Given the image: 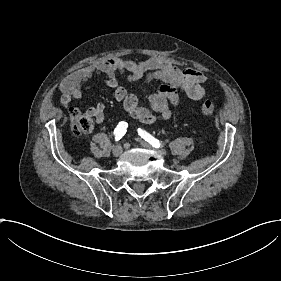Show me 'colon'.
Returning a JSON list of instances; mask_svg holds the SVG:
<instances>
[{"instance_id": "5ec220e1", "label": "colon", "mask_w": 281, "mask_h": 281, "mask_svg": "<svg viewBox=\"0 0 281 281\" xmlns=\"http://www.w3.org/2000/svg\"><path fill=\"white\" fill-rule=\"evenodd\" d=\"M216 109V104L211 100H205L199 106V110L203 115H213ZM76 127L81 133H88L92 129V122L88 117L80 116L77 119Z\"/></svg>"}]
</instances>
